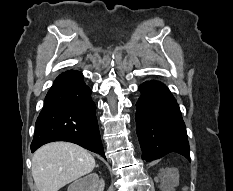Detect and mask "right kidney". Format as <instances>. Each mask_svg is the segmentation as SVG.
Segmentation results:
<instances>
[{"label":"right kidney","instance_id":"1","mask_svg":"<svg viewBox=\"0 0 233 191\" xmlns=\"http://www.w3.org/2000/svg\"><path fill=\"white\" fill-rule=\"evenodd\" d=\"M105 182L96 173L89 174L73 182L68 191H103Z\"/></svg>","mask_w":233,"mask_h":191}]
</instances>
